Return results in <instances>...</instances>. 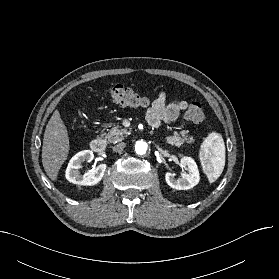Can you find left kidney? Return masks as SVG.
<instances>
[{
  "instance_id": "5707ae66",
  "label": "left kidney",
  "mask_w": 279,
  "mask_h": 279,
  "mask_svg": "<svg viewBox=\"0 0 279 279\" xmlns=\"http://www.w3.org/2000/svg\"><path fill=\"white\" fill-rule=\"evenodd\" d=\"M180 162L188 167V173H183L176 179L172 173L165 174L166 183L176 190H188L198 184L200 176L196 162L188 156H181Z\"/></svg>"
}]
</instances>
